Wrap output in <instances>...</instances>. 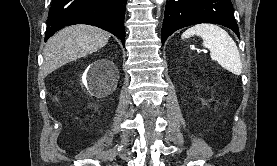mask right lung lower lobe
Here are the masks:
<instances>
[{
    "label": "right lung lower lobe",
    "instance_id": "obj_1",
    "mask_svg": "<svg viewBox=\"0 0 277 166\" xmlns=\"http://www.w3.org/2000/svg\"><path fill=\"white\" fill-rule=\"evenodd\" d=\"M126 3L127 0H53L45 41L64 26L90 24L114 34L125 45Z\"/></svg>",
    "mask_w": 277,
    "mask_h": 166
}]
</instances>
